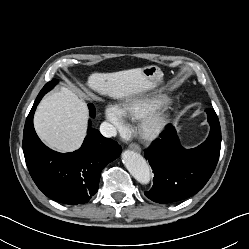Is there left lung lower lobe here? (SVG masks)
I'll return each mask as SVG.
<instances>
[{
  "label": "left lung lower lobe",
  "instance_id": "obj_1",
  "mask_svg": "<svg viewBox=\"0 0 249 249\" xmlns=\"http://www.w3.org/2000/svg\"><path fill=\"white\" fill-rule=\"evenodd\" d=\"M211 130L205 142L183 148L172 125L162 140L144 151L152 167L153 188L145 195L157 203L186 199L200 191L211 177L220 154L221 129L213 109H206Z\"/></svg>",
  "mask_w": 249,
  "mask_h": 249
}]
</instances>
